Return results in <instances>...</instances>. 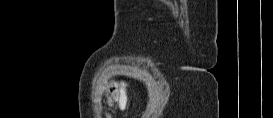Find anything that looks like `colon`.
Here are the masks:
<instances>
[{
	"label": "colon",
	"instance_id": "5ec220e1",
	"mask_svg": "<svg viewBox=\"0 0 273 118\" xmlns=\"http://www.w3.org/2000/svg\"><path fill=\"white\" fill-rule=\"evenodd\" d=\"M108 95L110 101L116 102L122 109L127 106V91L122 83L111 82L108 85Z\"/></svg>",
	"mask_w": 273,
	"mask_h": 118
}]
</instances>
